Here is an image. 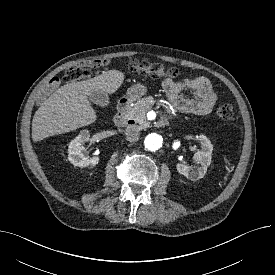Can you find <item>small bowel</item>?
I'll return each instance as SVG.
<instances>
[{"label": "small bowel", "mask_w": 275, "mask_h": 275, "mask_svg": "<svg viewBox=\"0 0 275 275\" xmlns=\"http://www.w3.org/2000/svg\"><path fill=\"white\" fill-rule=\"evenodd\" d=\"M163 91L173 108L195 115L209 114L217 100L210 81L202 76L187 78L175 82L165 79L162 82ZM193 91L196 99L185 98L183 91Z\"/></svg>", "instance_id": "obj_1"}]
</instances>
